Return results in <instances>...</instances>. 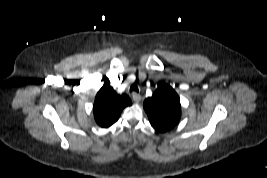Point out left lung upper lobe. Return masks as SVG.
I'll return each instance as SVG.
<instances>
[{
    "label": "left lung upper lobe",
    "mask_w": 267,
    "mask_h": 178,
    "mask_svg": "<svg viewBox=\"0 0 267 178\" xmlns=\"http://www.w3.org/2000/svg\"><path fill=\"white\" fill-rule=\"evenodd\" d=\"M151 125L159 132L176 126L181 117L180 99L168 84L161 85L143 105Z\"/></svg>",
    "instance_id": "obj_1"
}]
</instances>
